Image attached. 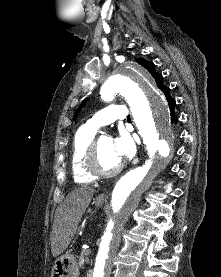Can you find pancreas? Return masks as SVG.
Listing matches in <instances>:
<instances>
[{
    "instance_id": "cf45deb5",
    "label": "pancreas",
    "mask_w": 221,
    "mask_h": 277,
    "mask_svg": "<svg viewBox=\"0 0 221 277\" xmlns=\"http://www.w3.org/2000/svg\"><path fill=\"white\" fill-rule=\"evenodd\" d=\"M90 254L88 249L82 250L79 256V265L83 266L84 262L87 261V256Z\"/></svg>"
}]
</instances>
